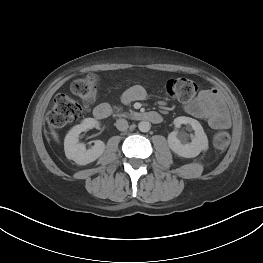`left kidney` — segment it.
Here are the masks:
<instances>
[{"label": "left kidney", "mask_w": 263, "mask_h": 263, "mask_svg": "<svg viewBox=\"0 0 263 263\" xmlns=\"http://www.w3.org/2000/svg\"><path fill=\"white\" fill-rule=\"evenodd\" d=\"M181 124H189L195 131V137L191 143H183L180 139L178 131L175 130L168 135V144L170 149L177 155L184 158H193L200 154L201 151L208 149V138L201 124L190 117L180 116L174 119L176 128H180Z\"/></svg>", "instance_id": "5707ae66"}]
</instances>
